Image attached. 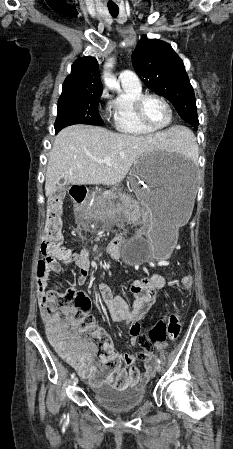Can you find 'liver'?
I'll return each instance as SVG.
<instances>
[{"label": "liver", "instance_id": "obj_1", "mask_svg": "<svg viewBox=\"0 0 233 449\" xmlns=\"http://www.w3.org/2000/svg\"><path fill=\"white\" fill-rule=\"evenodd\" d=\"M183 136L182 127L143 136L119 134L102 127L73 125L60 131L49 153L45 193L51 196L63 179L73 185H116L142 156L169 151ZM110 157L109 163H100Z\"/></svg>", "mask_w": 233, "mask_h": 449}]
</instances>
